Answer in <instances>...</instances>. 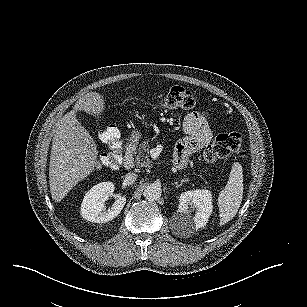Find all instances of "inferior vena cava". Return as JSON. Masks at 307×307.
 I'll return each mask as SVG.
<instances>
[{"label": "inferior vena cava", "instance_id": "1", "mask_svg": "<svg viewBox=\"0 0 307 307\" xmlns=\"http://www.w3.org/2000/svg\"><path fill=\"white\" fill-rule=\"evenodd\" d=\"M138 175L136 173H127L124 178V183L126 185H132L137 180Z\"/></svg>", "mask_w": 307, "mask_h": 307}]
</instances>
